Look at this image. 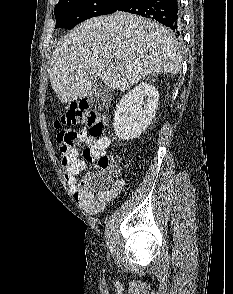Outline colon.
I'll list each match as a JSON object with an SVG mask.
<instances>
[{
  "label": "colon",
  "instance_id": "obj_1",
  "mask_svg": "<svg viewBox=\"0 0 233 294\" xmlns=\"http://www.w3.org/2000/svg\"><path fill=\"white\" fill-rule=\"evenodd\" d=\"M71 125L86 126L90 135L97 138L103 133L105 122L95 112L89 110L86 103L79 102L68 105L55 123L59 130L56 135V143L62 159L66 157L73 146L74 139V133L63 130L62 127ZM95 160V166L86 174L80 184L84 192H95L109 188L117 173L116 166L109 156L100 154Z\"/></svg>",
  "mask_w": 233,
  "mask_h": 294
}]
</instances>
